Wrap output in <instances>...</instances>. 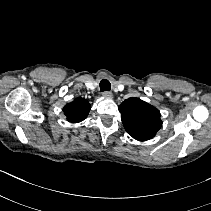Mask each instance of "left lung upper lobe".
I'll list each match as a JSON object with an SVG mask.
<instances>
[{
    "label": "left lung upper lobe",
    "mask_w": 211,
    "mask_h": 211,
    "mask_svg": "<svg viewBox=\"0 0 211 211\" xmlns=\"http://www.w3.org/2000/svg\"><path fill=\"white\" fill-rule=\"evenodd\" d=\"M118 109L125 130L138 141L153 138L162 126L159 110L139 98L124 100Z\"/></svg>",
    "instance_id": "5c2ea615"
}]
</instances>
